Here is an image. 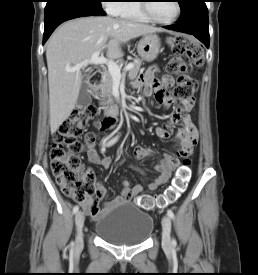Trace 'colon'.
Masks as SVG:
<instances>
[{
    "label": "colon",
    "instance_id": "colon-1",
    "mask_svg": "<svg viewBox=\"0 0 258 275\" xmlns=\"http://www.w3.org/2000/svg\"><path fill=\"white\" fill-rule=\"evenodd\" d=\"M169 47L175 56L168 61L166 69L170 74L177 76V84L172 95L177 100L188 101L198 89V83L191 77V73L195 67L202 64L203 50L190 37L184 35L169 38ZM95 114L96 109L93 106L76 110L60 126L50 152L52 171L63 193L80 203L90 199L96 191L95 174L90 170H84L79 157L83 149L80 137ZM113 124V119L105 117L99 120L96 126L102 130ZM86 140L94 141V133L88 132ZM190 177V158L186 156L169 187L156 197L139 196L136 200L137 205L143 210L166 208L185 191Z\"/></svg>",
    "mask_w": 258,
    "mask_h": 275
}]
</instances>
